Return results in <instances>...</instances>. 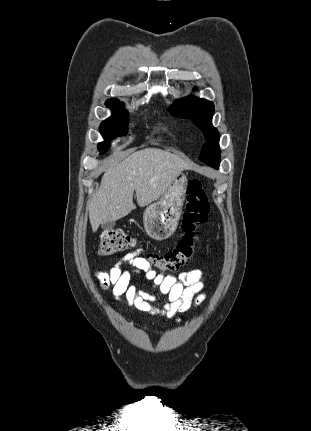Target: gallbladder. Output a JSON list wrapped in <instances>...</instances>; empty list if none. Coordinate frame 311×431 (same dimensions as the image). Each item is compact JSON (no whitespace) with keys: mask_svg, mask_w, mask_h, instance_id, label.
Segmentation results:
<instances>
[{"mask_svg":"<svg viewBox=\"0 0 311 431\" xmlns=\"http://www.w3.org/2000/svg\"><path fill=\"white\" fill-rule=\"evenodd\" d=\"M116 221H106V223H101L102 229H112L114 227Z\"/></svg>","mask_w":311,"mask_h":431,"instance_id":"gallbladder-1","label":"gallbladder"}]
</instances>
